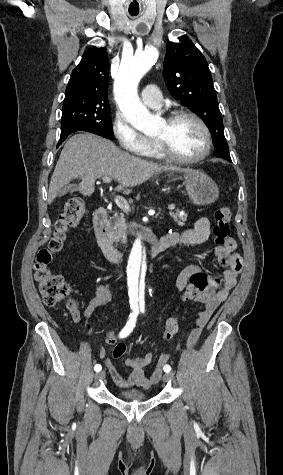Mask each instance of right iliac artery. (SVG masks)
<instances>
[{
  "mask_svg": "<svg viewBox=\"0 0 283 475\" xmlns=\"http://www.w3.org/2000/svg\"><path fill=\"white\" fill-rule=\"evenodd\" d=\"M137 315H138V312H132L129 315V320H128L127 324L125 325V327L122 329V331L119 334L120 338L127 337L133 331V328L135 327ZM101 369H102V367H101L100 364H96L94 366V370L96 372H99Z\"/></svg>",
  "mask_w": 283,
  "mask_h": 475,
  "instance_id": "right-iliac-artery-1",
  "label": "right iliac artery"
}]
</instances>
